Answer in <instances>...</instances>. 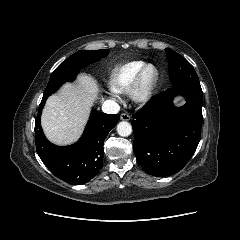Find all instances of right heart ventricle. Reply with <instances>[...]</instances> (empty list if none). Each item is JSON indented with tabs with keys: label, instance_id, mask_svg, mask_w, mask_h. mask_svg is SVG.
Here are the masks:
<instances>
[{
	"label": "right heart ventricle",
	"instance_id": "1",
	"mask_svg": "<svg viewBox=\"0 0 240 240\" xmlns=\"http://www.w3.org/2000/svg\"><path fill=\"white\" fill-rule=\"evenodd\" d=\"M144 65L143 61H130L116 66L110 75L111 90L115 93H126Z\"/></svg>",
	"mask_w": 240,
	"mask_h": 240
}]
</instances>
